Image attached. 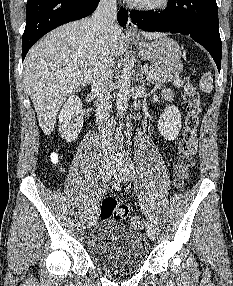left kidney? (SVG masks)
I'll list each match as a JSON object with an SVG mask.
<instances>
[{
  "label": "left kidney",
  "instance_id": "obj_1",
  "mask_svg": "<svg viewBox=\"0 0 233 286\" xmlns=\"http://www.w3.org/2000/svg\"><path fill=\"white\" fill-rule=\"evenodd\" d=\"M182 126L181 114L177 107L168 106L159 118L158 129L166 140H174Z\"/></svg>",
  "mask_w": 233,
  "mask_h": 286
}]
</instances>
